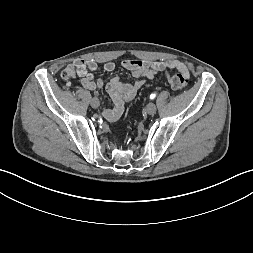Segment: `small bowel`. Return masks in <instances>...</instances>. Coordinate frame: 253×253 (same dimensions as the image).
Returning <instances> with one entry per match:
<instances>
[{"mask_svg":"<svg viewBox=\"0 0 253 253\" xmlns=\"http://www.w3.org/2000/svg\"><path fill=\"white\" fill-rule=\"evenodd\" d=\"M123 68L129 70L137 80L131 83L122 82L118 77H113L106 84L101 79L95 80L93 71L97 68L94 60L77 59L67 66V70L72 75H78L81 78V85L90 91L102 88L104 85L110 95L113 106L103 109V116L109 121L117 120L124 111V104L134 99L138 90L155 75L165 69H176L181 72H187V66L175 59L167 61H147V60H124L121 62ZM114 62H106L103 69L106 73L115 70Z\"/></svg>","mask_w":253,"mask_h":253,"instance_id":"1","label":"small bowel"}]
</instances>
